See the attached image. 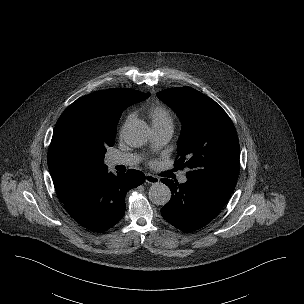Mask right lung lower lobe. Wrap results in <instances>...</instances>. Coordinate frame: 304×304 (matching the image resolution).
Returning a JSON list of instances; mask_svg holds the SVG:
<instances>
[{
	"mask_svg": "<svg viewBox=\"0 0 304 304\" xmlns=\"http://www.w3.org/2000/svg\"><path fill=\"white\" fill-rule=\"evenodd\" d=\"M144 180V174L138 170L115 175L106 167L63 204L81 226L103 232L121 220L125 213L126 193Z\"/></svg>",
	"mask_w": 304,
	"mask_h": 304,
	"instance_id": "right-lung-lower-lobe-1",
	"label": "right lung lower lobe"
}]
</instances>
